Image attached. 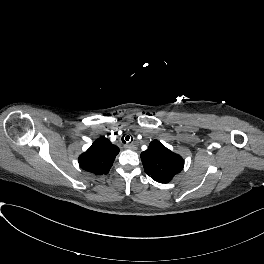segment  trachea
<instances>
[{"label": "trachea", "instance_id": "1", "mask_svg": "<svg viewBox=\"0 0 264 264\" xmlns=\"http://www.w3.org/2000/svg\"><path fill=\"white\" fill-rule=\"evenodd\" d=\"M133 141V139H132V136H129V135H124L123 137H122V142L124 143V144H130L131 142Z\"/></svg>", "mask_w": 264, "mask_h": 264}]
</instances>
